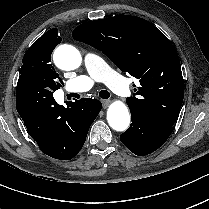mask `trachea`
I'll return each mask as SVG.
<instances>
[{"mask_svg":"<svg viewBox=\"0 0 209 209\" xmlns=\"http://www.w3.org/2000/svg\"><path fill=\"white\" fill-rule=\"evenodd\" d=\"M99 96L103 99H108L110 97V93L107 90H101L99 92Z\"/></svg>","mask_w":209,"mask_h":209,"instance_id":"trachea-1","label":"trachea"}]
</instances>
